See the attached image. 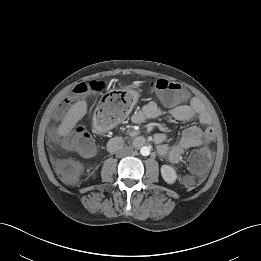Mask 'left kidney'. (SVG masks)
I'll use <instances>...</instances> for the list:
<instances>
[{"label": "left kidney", "instance_id": "left-kidney-1", "mask_svg": "<svg viewBox=\"0 0 261 261\" xmlns=\"http://www.w3.org/2000/svg\"><path fill=\"white\" fill-rule=\"evenodd\" d=\"M161 175L165 182L168 184H173L177 179L176 171L173 167L169 165L161 166Z\"/></svg>", "mask_w": 261, "mask_h": 261}]
</instances>
